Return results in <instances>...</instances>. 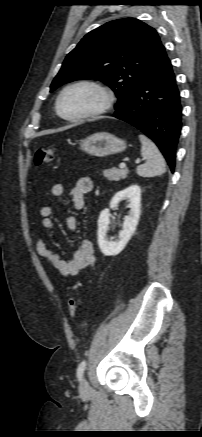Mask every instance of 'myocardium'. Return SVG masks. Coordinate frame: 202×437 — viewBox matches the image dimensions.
I'll use <instances>...</instances> for the list:
<instances>
[{"mask_svg":"<svg viewBox=\"0 0 202 437\" xmlns=\"http://www.w3.org/2000/svg\"><path fill=\"white\" fill-rule=\"evenodd\" d=\"M82 86L93 88L101 95L102 101H101L100 105L91 111L85 112L83 114H80V115H77L74 117H69V116L64 115L61 111V106H60L63 96L71 89H74L77 87H82ZM114 101H115V97H114L113 92L110 89H108L107 87H105L104 85H102L96 81H93V80H79V81H76V82L69 84L60 92V94L58 95V97L56 99L55 108H56L57 114L62 119L69 121V122H81V121L95 119V118L102 116L103 114H105L106 112H108L111 109V107L114 104Z\"/></svg>","mask_w":202,"mask_h":437,"instance_id":"myocardium-1","label":"myocardium"}]
</instances>
